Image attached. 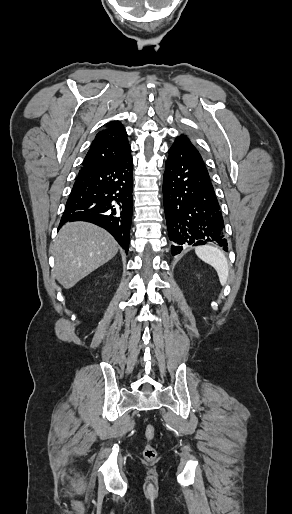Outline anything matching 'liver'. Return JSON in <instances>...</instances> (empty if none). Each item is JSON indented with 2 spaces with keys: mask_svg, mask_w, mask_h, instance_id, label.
<instances>
[{
  "mask_svg": "<svg viewBox=\"0 0 292 514\" xmlns=\"http://www.w3.org/2000/svg\"><path fill=\"white\" fill-rule=\"evenodd\" d=\"M50 252L55 256L54 278L69 290L112 260L118 244L103 228L87 222H70L61 228Z\"/></svg>",
  "mask_w": 292,
  "mask_h": 514,
  "instance_id": "liver-1",
  "label": "liver"
}]
</instances>
